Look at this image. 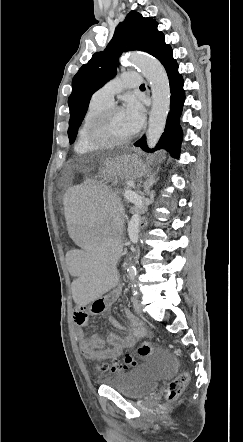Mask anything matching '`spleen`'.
<instances>
[{
    "mask_svg": "<svg viewBox=\"0 0 243 442\" xmlns=\"http://www.w3.org/2000/svg\"><path fill=\"white\" fill-rule=\"evenodd\" d=\"M83 183H74L70 193L62 194L68 202L67 217L73 242H78L82 254L71 259L73 274L79 282L72 287V296H77L79 307H90L98 302L101 291L104 296H113L121 286V277L114 265L120 258L119 223L106 219H121V207L114 193L119 189L117 181L107 175H97L95 169L83 171Z\"/></svg>",
    "mask_w": 243,
    "mask_h": 442,
    "instance_id": "1",
    "label": "spleen"
}]
</instances>
